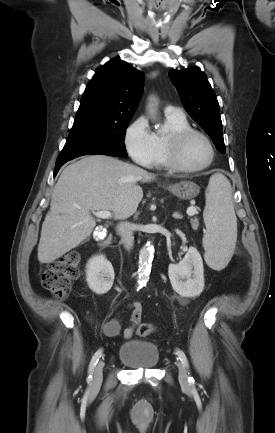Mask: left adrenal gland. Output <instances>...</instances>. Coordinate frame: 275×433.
Wrapping results in <instances>:
<instances>
[{
	"mask_svg": "<svg viewBox=\"0 0 275 433\" xmlns=\"http://www.w3.org/2000/svg\"><path fill=\"white\" fill-rule=\"evenodd\" d=\"M173 217L175 218V219H181L182 217L180 216V214H178L177 212H175L174 214H173Z\"/></svg>",
	"mask_w": 275,
	"mask_h": 433,
	"instance_id": "left-adrenal-gland-1",
	"label": "left adrenal gland"
}]
</instances>
